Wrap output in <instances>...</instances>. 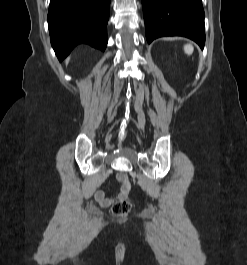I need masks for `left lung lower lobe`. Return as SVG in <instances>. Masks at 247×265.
Listing matches in <instances>:
<instances>
[{"mask_svg": "<svg viewBox=\"0 0 247 265\" xmlns=\"http://www.w3.org/2000/svg\"><path fill=\"white\" fill-rule=\"evenodd\" d=\"M147 42L162 36H184L205 44L201 0H142Z\"/></svg>", "mask_w": 247, "mask_h": 265, "instance_id": "obj_1", "label": "left lung lower lobe"}]
</instances>
